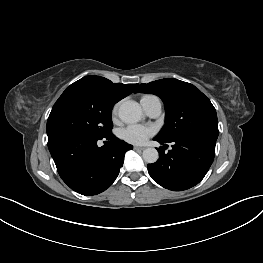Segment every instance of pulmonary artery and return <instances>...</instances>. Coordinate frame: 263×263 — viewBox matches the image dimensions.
<instances>
[{
  "label": "pulmonary artery",
  "instance_id": "e3ab8cb5",
  "mask_svg": "<svg viewBox=\"0 0 263 263\" xmlns=\"http://www.w3.org/2000/svg\"><path fill=\"white\" fill-rule=\"evenodd\" d=\"M141 106L150 117L156 118L161 114L162 102L154 95H148L141 99Z\"/></svg>",
  "mask_w": 263,
  "mask_h": 263
}]
</instances>
